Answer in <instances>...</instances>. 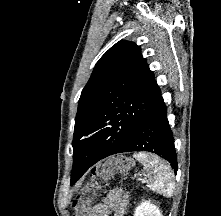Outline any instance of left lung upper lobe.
Instances as JSON below:
<instances>
[{
    "label": "left lung upper lobe",
    "instance_id": "obj_1",
    "mask_svg": "<svg viewBox=\"0 0 221 216\" xmlns=\"http://www.w3.org/2000/svg\"><path fill=\"white\" fill-rule=\"evenodd\" d=\"M157 83L132 42L120 41L97 62L78 104L71 181L81 170L82 152L99 144L124 146L150 110Z\"/></svg>",
    "mask_w": 221,
    "mask_h": 216
}]
</instances>
